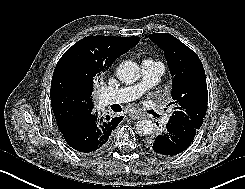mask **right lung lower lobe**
<instances>
[{"mask_svg": "<svg viewBox=\"0 0 245 189\" xmlns=\"http://www.w3.org/2000/svg\"><path fill=\"white\" fill-rule=\"evenodd\" d=\"M123 119L122 116L110 118L92 114L85 120L61 131L65 141L78 152L91 153L105 147L110 135Z\"/></svg>", "mask_w": 245, "mask_h": 189, "instance_id": "1", "label": "right lung lower lobe"}]
</instances>
